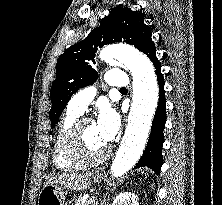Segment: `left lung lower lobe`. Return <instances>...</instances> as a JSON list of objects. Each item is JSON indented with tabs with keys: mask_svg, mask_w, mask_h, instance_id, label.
Masks as SVG:
<instances>
[{
	"mask_svg": "<svg viewBox=\"0 0 222 205\" xmlns=\"http://www.w3.org/2000/svg\"><path fill=\"white\" fill-rule=\"evenodd\" d=\"M140 51L145 53L151 59L155 66L160 93L158 107L154 115L148 144L142 157L134 168L137 169L140 167L147 166L158 175L160 173V169L163 163L161 149L164 143L163 130L166 122V99L164 90V78L161 74V64L156 57V48L151 36H149L145 40L144 45Z\"/></svg>",
	"mask_w": 222,
	"mask_h": 205,
	"instance_id": "0a47b994",
	"label": "left lung lower lobe"
}]
</instances>
